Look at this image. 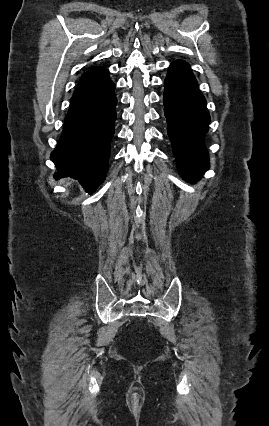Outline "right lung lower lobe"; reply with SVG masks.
Returning a JSON list of instances; mask_svg holds the SVG:
<instances>
[{
  "label": "right lung lower lobe",
  "mask_w": 269,
  "mask_h": 426,
  "mask_svg": "<svg viewBox=\"0 0 269 426\" xmlns=\"http://www.w3.org/2000/svg\"><path fill=\"white\" fill-rule=\"evenodd\" d=\"M115 84L104 67L84 73L71 98L64 129L51 159L57 176L79 180L92 194L105 179L117 118Z\"/></svg>",
  "instance_id": "obj_1"
}]
</instances>
